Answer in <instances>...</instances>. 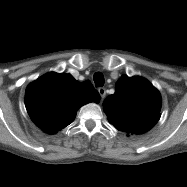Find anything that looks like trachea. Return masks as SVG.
Returning <instances> with one entry per match:
<instances>
[{"instance_id": "obj_1", "label": "trachea", "mask_w": 187, "mask_h": 187, "mask_svg": "<svg viewBox=\"0 0 187 187\" xmlns=\"http://www.w3.org/2000/svg\"><path fill=\"white\" fill-rule=\"evenodd\" d=\"M93 80L95 82L96 87H102L104 85V76L100 72L94 74Z\"/></svg>"}]
</instances>
